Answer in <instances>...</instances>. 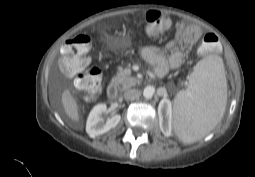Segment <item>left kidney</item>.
I'll return each instance as SVG.
<instances>
[{
  "instance_id": "5707ae66",
  "label": "left kidney",
  "mask_w": 255,
  "mask_h": 177,
  "mask_svg": "<svg viewBox=\"0 0 255 177\" xmlns=\"http://www.w3.org/2000/svg\"><path fill=\"white\" fill-rule=\"evenodd\" d=\"M158 114L160 116V121L162 125V129L164 130L166 135L171 134V121H172V106L171 102L167 99H163L158 107ZM163 115L165 119L163 120Z\"/></svg>"
}]
</instances>
